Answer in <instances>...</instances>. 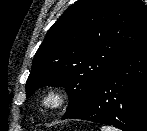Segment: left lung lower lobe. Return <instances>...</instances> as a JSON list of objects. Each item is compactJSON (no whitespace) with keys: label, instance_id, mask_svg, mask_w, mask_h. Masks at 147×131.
I'll use <instances>...</instances> for the list:
<instances>
[{"label":"left lung lower lobe","instance_id":"obj_1","mask_svg":"<svg viewBox=\"0 0 147 131\" xmlns=\"http://www.w3.org/2000/svg\"><path fill=\"white\" fill-rule=\"evenodd\" d=\"M62 119H82L123 131H147V41L123 55L87 103Z\"/></svg>","mask_w":147,"mask_h":131}]
</instances>
